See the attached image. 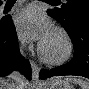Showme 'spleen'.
Here are the masks:
<instances>
[{
	"label": "spleen",
	"instance_id": "obj_1",
	"mask_svg": "<svg viewBox=\"0 0 89 89\" xmlns=\"http://www.w3.org/2000/svg\"><path fill=\"white\" fill-rule=\"evenodd\" d=\"M67 80L78 83L81 86V89H89V84L85 81L78 80V79H72V78H69Z\"/></svg>",
	"mask_w": 89,
	"mask_h": 89
}]
</instances>
